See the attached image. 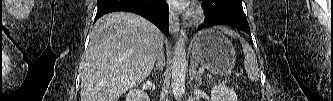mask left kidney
Masks as SVG:
<instances>
[{
    "label": "left kidney",
    "instance_id": "obj_1",
    "mask_svg": "<svg viewBox=\"0 0 333 101\" xmlns=\"http://www.w3.org/2000/svg\"><path fill=\"white\" fill-rule=\"evenodd\" d=\"M211 101H237V95L224 83H220L212 88Z\"/></svg>",
    "mask_w": 333,
    "mask_h": 101
}]
</instances>
